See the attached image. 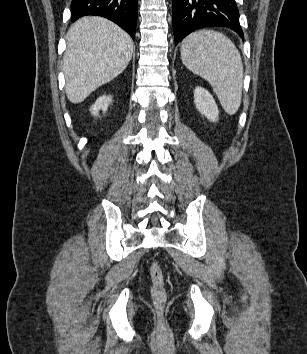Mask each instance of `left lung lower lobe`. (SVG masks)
I'll return each mask as SVG.
<instances>
[{"mask_svg":"<svg viewBox=\"0 0 307 354\" xmlns=\"http://www.w3.org/2000/svg\"><path fill=\"white\" fill-rule=\"evenodd\" d=\"M227 27L243 38L235 0H173V30L177 45L204 27Z\"/></svg>","mask_w":307,"mask_h":354,"instance_id":"left-lung-lower-lobe-1","label":"left lung lower lobe"}]
</instances>
